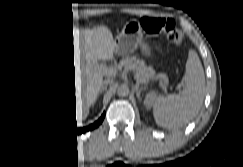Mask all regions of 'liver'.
Segmentation results:
<instances>
[{
    "label": "liver",
    "mask_w": 243,
    "mask_h": 167,
    "mask_svg": "<svg viewBox=\"0 0 243 167\" xmlns=\"http://www.w3.org/2000/svg\"><path fill=\"white\" fill-rule=\"evenodd\" d=\"M114 51L113 36L103 26L94 30H75L69 37V52L75 69L71 73V96L77 123L85 119L86 109L95 102L102 85L103 74L92 61L108 60Z\"/></svg>",
    "instance_id": "obj_1"
}]
</instances>
